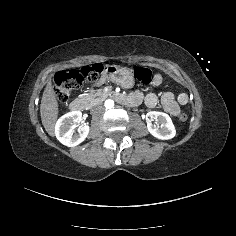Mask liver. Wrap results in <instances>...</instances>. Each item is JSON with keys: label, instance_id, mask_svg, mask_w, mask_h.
<instances>
[{"label": "liver", "instance_id": "6515ba94", "mask_svg": "<svg viewBox=\"0 0 236 236\" xmlns=\"http://www.w3.org/2000/svg\"><path fill=\"white\" fill-rule=\"evenodd\" d=\"M59 116V102L52 82L49 81L44 89L41 104L40 117L44 129L52 138L55 137L56 122Z\"/></svg>", "mask_w": 236, "mask_h": 236}]
</instances>
